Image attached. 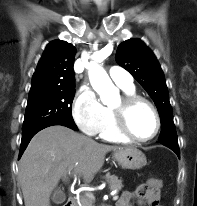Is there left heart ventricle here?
I'll use <instances>...</instances> for the list:
<instances>
[{
	"mask_svg": "<svg viewBox=\"0 0 197 206\" xmlns=\"http://www.w3.org/2000/svg\"><path fill=\"white\" fill-rule=\"evenodd\" d=\"M119 103L120 99L113 106H117ZM128 125L135 136L146 138L153 134L156 121L151 109L147 105L138 104L129 112Z\"/></svg>",
	"mask_w": 197,
	"mask_h": 206,
	"instance_id": "left-heart-ventricle-1",
	"label": "left heart ventricle"
}]
</instances>
